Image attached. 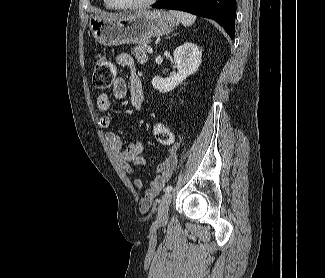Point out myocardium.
Segmentation results:
<instances>
[{"label": "myocardium", "instance_id": "f54148a6", "mask_svg": "<svg viewBox=\"0 0 325 278\" xmlns=\"http://www.w3.org/2000/svg\"><path fill=\"white\" fill-rule=\"evenodd\" d=\"M157 1L158 0H146L141 3L125 4V3H121L118 0H109L112 6H114L117 9H123V10H137V9L147 8L155 4Z\"/></svg>", "mask_w": 325, "mask_h": 278}]
</instances>
